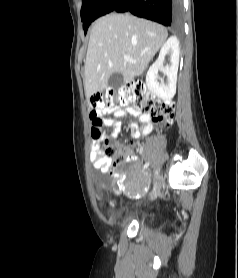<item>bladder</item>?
Segmentation results:
<instances>
[{"label": "bladder", "instance_id": "1", "mask_svg": "<svg viewBox=\"0 0 238 278\" xmlns=\"http://www.w3.org/2000/svg\"><path fill=\"white\" fill-rule=\"evenodd\" d=\"M143 176H140V179H142ZM128 219H130L129 214H123L121 211H117L112 215V223L114 224H119V223H124ZM141 225L146 226V222L144 220H141Z\"/></svg>", "mask_w": 238, "mask_h": 278}]
</instances>
